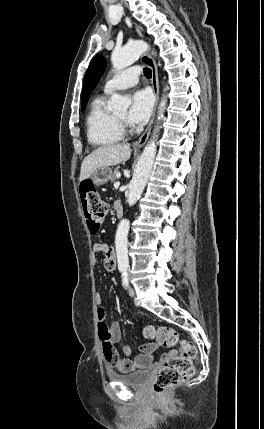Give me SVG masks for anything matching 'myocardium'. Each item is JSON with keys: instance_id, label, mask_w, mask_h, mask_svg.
<instances>
[{"instance_id": "f54148a6", "label": "myocardium", "mask_w": 264, "mask_h": 429, "mask_svg": "<svg viewBox=\"0 0 264 429\" xmlns=\"http://www.w3.org/2000/svg\"><path fill=\"white\" fill-rule=\"evenodd\" d=\"M114 117H115V120H116L117 124L121 128V130L124 131L126 129V122H125V120L120 119V118H118L116 116H114Z\"/></svg>"}]
</instances>
